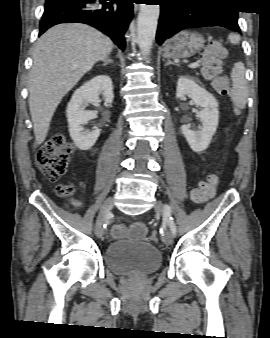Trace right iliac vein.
<instances>
[{
    "instance_id": "obj_1",
    "label": "right iliac vein",
    "mask_w": 270,
    "mask_h": 338,
    "mask_svg": "<svg viewBox=\"0 0 270 338\" xmlns=\"http://www.w3.org/2000/svg\"><path fill=\"white\" fill-rule=\"evenodd\" d=\"M112 207H113V200L111 198H108L104 201V203H103V205L100 209L98 218H97L96 223H95V234L98 237L101 236V234L103 232V225L105 223V219H106L108 213L112 210Z\"/></svg>"
}]
</instances>
